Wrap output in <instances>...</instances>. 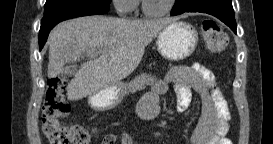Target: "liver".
Masks as SVG:
<instances>
[{
  "label": "liver",
  "mask_w": 273,
  "mask_h": 144,
  "mask_svg": "<svg viewBox=\"0 0 273 144\" xmlns=\"http://www.w3.org/2000/svg\"><path fill=\"white\" fill-rule=\"evenodd\" d=\"M175 18L130 20L86 16L58 24L49 34L48 77L66 72L80 55L101 51L99 58L83 63L67 89L70 101L109 88L139 65L145 47Z\"/></svg>",
  "instance_id": "liver-1"
}]
</instances>
